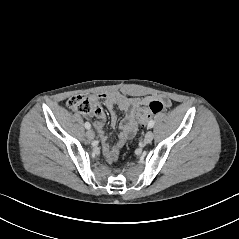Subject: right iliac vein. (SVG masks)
Wrapping results in <instances>:
<instances>
[{"label":"right iliac vein","mask_w":239,"mask_h":239,"mask_svg":"<svg viewBox=\"0 0 239 239\" xmlns=\"http://www.w3.org/2000/svg\"><path fill=\"white\" fill-rule=\"evenodd\" d=\"M86 136L88 139L90 140H93L95 138V133L93 130L89 129L87 132H86Z\"/></svg>","instance_id":"1"}]
</instances>
